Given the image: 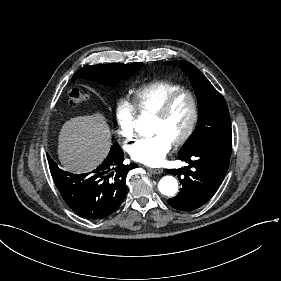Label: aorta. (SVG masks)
I'll return each mask as SVG.
<instances>
[{"instance_id":"1","label":"aorta","mask_w":281,"mask_h":281,"mask_svg":"<svg viewBox=\"0 0 281 281\" xmlns=\"http://www.w3.org/2000/svg\"><path fill=\"white\" fill-rule=\"evenodd\" d=\"M136 127L141 135L147 134V131L149 130V118L141 117L137 122ZM158 189L165 196H174L178 191V182L173 176H164L159 181Z\"/></svg>"}]
</instances>
